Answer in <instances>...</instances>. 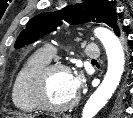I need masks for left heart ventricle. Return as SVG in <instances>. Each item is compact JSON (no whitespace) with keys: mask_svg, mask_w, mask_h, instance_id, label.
<instances>
[{"mask_svg":"<svg viewBox=\"0 0 133 118\" xmlns=\"http://www.w3.org/2000/svg\"><path fill=\"white\" fill-rule=\"evenodd\" d=\"M70 73L55 70L48 78L46 85L47 100L53 105H63L70 102L76 95L71 91Z\"/></svg>","mask_w":133,"mask_h":118,"instance_id":"left-heart-ventricle-1","label":"left heart ventricle"}]
</instances>
